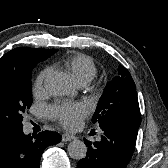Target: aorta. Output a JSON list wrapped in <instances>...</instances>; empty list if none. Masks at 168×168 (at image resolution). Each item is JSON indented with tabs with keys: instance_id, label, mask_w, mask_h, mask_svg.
<instances>
[{
	"instance_id": "obj_1",
	"label": "aorta",
	"mask_w": 168,
	"mask_h": 168,
	"mask_svg": "<svg viewBox=\"0 0 168 168\" xmlns=\"http://www.w3.org/2000/svg\"><path fill=\"white\" fill-rule=\"evenodd\" d=\"M45 88L53 96H67L73 90V82L67 73L56 71L46 78ZM86 153L87 147L81 140H73L68 145V154L73 159L81 160Z\"/></svg>"
}]
</instances>
